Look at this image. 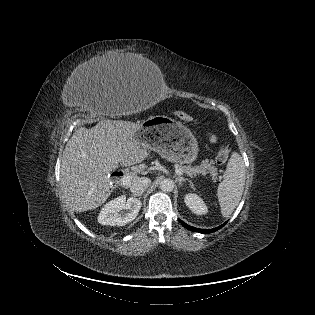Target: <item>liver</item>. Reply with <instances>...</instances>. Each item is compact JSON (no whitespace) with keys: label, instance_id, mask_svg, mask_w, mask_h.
<instances>
[{"label":"liver","instance_id":"6515ba94","mask_svg":"<svg viewBox=\"0 0 315 315\" xmlns=\"http://www.w3.org/2000/svg\"><path fill=\"white\" fill-rule=\"evenodd\" d=\"M138 129L139 124L131 121L107 119L73 133L63 151L60 168L61 190L72 211L101 206L112 193L109 174L119 164L132 166L131 182L138 173L146 172V167L133 166L149 156L148 148L136 138Z\"/></svg>","mask_w":315,"mask_h":315}]
</instances>
